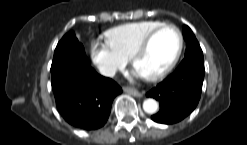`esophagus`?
Returning <instances> with one entry per match:
<instances>
[{"instance_id": "1", "label": "esophagus", "mask_w": 247, "mask_h": 145, "mask_svg": "<svg viewBox=\"0 0 247 145\" xmlns=\"http://www.w3.org/2000/svg\"><path fill=\"white\" fill-rule=\"evenodd\" d=\"M124 92L133 95L135 97H142L143 94L141 92H139L138 90H136L135 88L132 87H125L123 88Z\"/></svg>"}]
</instances>
